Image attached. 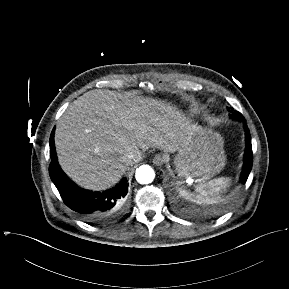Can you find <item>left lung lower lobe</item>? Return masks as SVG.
<instances>
[{
    "label": "left lung lower lobe",
    "mask_w": 289,
    "mask_h": 289,
    "mask_svg": "<svg viewBox=\"0 0 289 289\" xmlns=\"http://www.w3.org/2000/svg\"><path fill=\"white\" fill-rule=\"evenodd\" d=\"M245 121V120H242ZM245 131H246V152H245V162L243 166V171L241 175V182L245 183L247 181V178L249 176V173L252 168V162H253V154H252V146H251V137L249 133V129L247 125H245Z\"/></svg>",
    "instance_id": "1"
}]
</instances>
